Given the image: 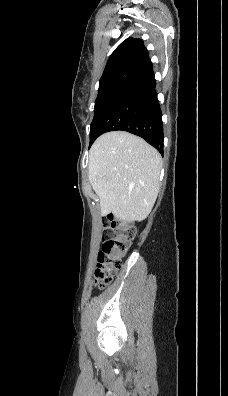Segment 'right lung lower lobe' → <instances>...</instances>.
Masks as SVG:
<instances>
[{
	"mask_svg": "<svg viewBox=\"0 0 228 396\" xmlns=\"http://www.w3.org/2000/svg\"><path fill=\"white\" fill-rule=\"evenodd\" d=\"M155 87L153 68L127 85L98 119L90 146L105 132L123 130L142 137L163 155L162 114Z\"/></svg>",
	"mask_w": 228,
	"mask_h": 396,
	"instance_id": "right-lung-lower-lobe-1",
	"label": "right lung lower lobe"
}]
</instances>
